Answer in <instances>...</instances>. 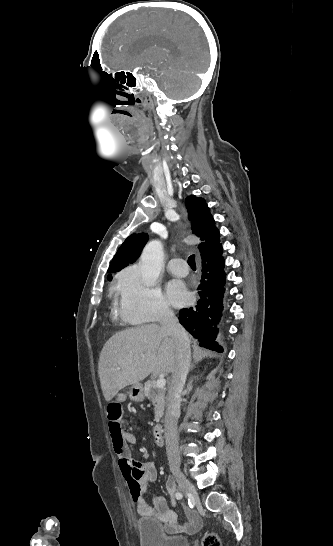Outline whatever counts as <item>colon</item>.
I'll use <instances>...</instances> for the list:
<instances>
[{
  "label": "colon",
  "mask_w": 333,
  "mask_h": 546,
  "mask_svg": "<svg viewBox=\"0 0 333 546\" xmlns=\"http://www.w3.org/2000/svg\"><path fill=\"white\" fill-rule=\"evenodd\" d=\"M106 414L110 421L115 422L118 418H123L124 409L120 400H111L105 408ZM206 546H220V541L218 537L214 534H211L206 539Z\"/></svg>",
  "instance_id": "colon-1"
}]
</instances>
